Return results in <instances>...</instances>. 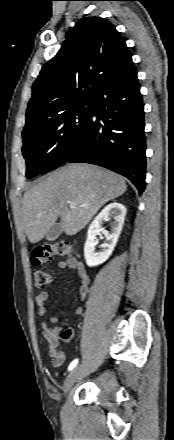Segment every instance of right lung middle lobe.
Segmentation results:
<instances>
[{
	"label": "right lung middle lobe",
	"instance_id": "dd1d6c3e",
	"mask_svg": "<svg viewBox=\"0 0 174 440\" xmlns=\"http://www.w3.org/2000/svg\"><path fill=\"white\" fill-rule=\"evenodd\" d=\"M90 103V99L80 101L23 131L22 151L28 178L50 172L65 163L72 145L86 130Z\"/></svg>",
	"mask_w": 174,
	"mask_h": 440
}]
</instances>
